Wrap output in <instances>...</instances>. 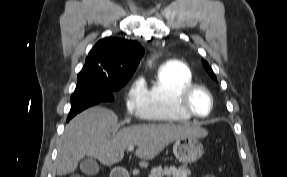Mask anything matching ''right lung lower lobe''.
I'll return each mask as SVG.
<instances>
[{"instance_id": "right-lung-lower-lobe-1", "label": "right lung lower lobe", "mask_w": 287, "mask_h": 177, "mask_svg": "<svg viewBox=\"0 0 287 177\" xmlns=\"http://www.w3.org/2000/svg\"><path fill=\"white\" fill-rule=\"evenodd\" d=\"M100 102L95 100H84L80 102L72 103L71 110L68 116L67 121H69L72 117H74L77 113L85 110L86 108L99 104Z\"/></svg>"}]
</instances>
